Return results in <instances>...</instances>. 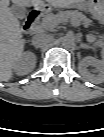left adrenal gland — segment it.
Here are the masks:
<instances>
[{
  "label": "left adrenal gland",
  "instance_id": "left-adrenal-gland-1",
  "mask_svg": "<svg viewBox=\"0 0 104 137\" xmlns=\"http://www.w3.org/2000/svg\"><path fill=\"white\" fill-rule=\"evenodd\" d=\"M80 48L87 49L88 46L81 44V45H80Z\"/></svg>",
  "mask_w": 104,
  "mask_h": 137
}]
</instances>
